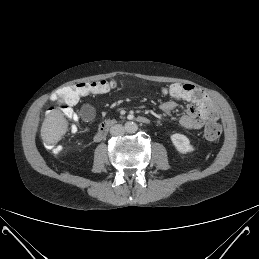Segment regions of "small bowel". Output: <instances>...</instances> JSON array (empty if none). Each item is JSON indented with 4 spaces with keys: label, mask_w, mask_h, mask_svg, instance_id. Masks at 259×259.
<instances>
[{
    "label": "small bowel",
    "mask_w": 259,
    "mask_h": 259,
    "mask_svg": "<svg viewBox=\"0 0 259 259\" xmlns=\"http://www.w3.org/2000/svg\"><path fill=\"white\" fill-rule=\"evenodd\" d=\"M171 99L161 104L160 108L165 113H172L181 101L178 97L170 96ZM192 102L186 109V112L180 117V124L189 130H198L203 128L207 121H215L218 118L216 110L210 106L209 99L204 100L189 99Z\"/></svg>",
    "instance_id": "1"
}]
</instances>
